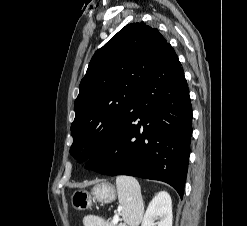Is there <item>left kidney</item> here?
<instances>
[{"instance_id": "left-kidney-1", "label": "left kidney", "mask_w": 247, "mask_h": 226, "mask_svg": "<svg viewBox=\"0 0 247 226\" xmlns=\"http://www.w3.org/2000/svg\"><path fill=\"white\" fill-rule=\"evenodd\" d=\"M172 220L171 197L167 192L161 191L149 203L141 226H172Z\"/></svg>"}]
</instances>
